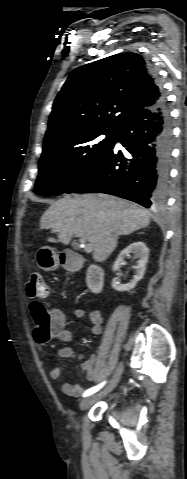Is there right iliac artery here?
<instances>
[{
	"instance_id": "obj_1",
	"label": "right iliac artery",
	"mask_w": 187,
	"mask_h": 479,
	"mask_svg": "<svg viewBox=\"0 0 187 479\" xmlns=\"http://www.w3.org/2000/svg\"><path fill=\"white\" fill-rule=\"evenodd\" d=\"M105 381L100 383L99 385L97 386H94L90 389H87L84 393H83V397H87V396H90L92 394H94L95 392H97L98 390H100L104 385H105Z\"/></svg>"
}]
</instances>
